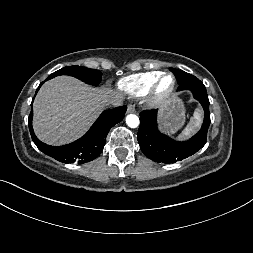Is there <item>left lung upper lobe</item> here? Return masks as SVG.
<instances>
[{
	"instance_id": "left-lung-upper-lobe-1",
	"label": "left lung upper lobe",
	"mask_w": 253,
	"mask_h": 253,
	"mask_svg": "<svg viewBox=\"0 0 253 253\" xmlns=\"http://www.w3.org/2000/svg\"><path fill=\"white\" fill-rule=\"evenodd\" d=\"M170 70L172 73H174L179 85L185 82H189L192 78L195 77L189 73L184 72L183 70H177L174 68H170Z\"/></svg>"
}]
</instances>
